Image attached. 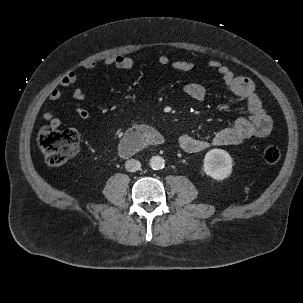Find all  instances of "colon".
Listing matches in <instances>:
<instances>
[{
	"label": "colon",
	"mask_w": 303,
	"mask_h": 303,
	"mask_svg": "<svg viewBox=\"0 0 303 303\" xmlns=\"http://www.w3.org/2000/svg\"><path fill=\"white\" fill-rule=\"evenodd\" d=\"M37 143L46 163L52 167H59L77 151L79 135L74 129L60 130L47 125L38 132ZM262 157L267 164H274L280 160V149L275 145H269L264 149Z\"/></svg>",
	"instance_id": "colon-1"
}]
</instances>
